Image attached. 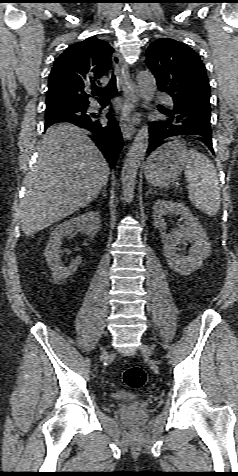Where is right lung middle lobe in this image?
Masks as SVG:
<instances>
[{"label":"right lung middle lobe","mask_w":238,"mask_h":476,"mask_svg":"<svg viewBox=\"0 0 238 476\" xmlns=\"http://www.w3.org/2000/svg\"><path fill=\"white\" fill-rule=\"evenodd\" d=\"M86 110L87 107L85 106L46 104L45 122L50 125L59 122H70L75 118L89 116Z\"/></svg>","instance_id":"1"}]
</instances>
